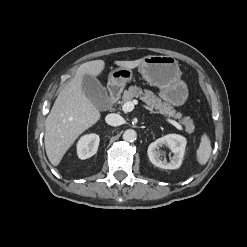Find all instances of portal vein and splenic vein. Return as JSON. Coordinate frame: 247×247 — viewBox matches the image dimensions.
<instances>
[{
  "mask_svg": "<svg viewBox=\"0 0 247 247\" xmlns=\"http://www.w3.org/2000/svg\"><path fill=\"white\" fill-rule=\"evenodd\" d=\"M137 104H138L137 100L126 102L122 106V110L125 113L131 112L134 109V105H137ZM143 107L145 109L149 110L151 113H156V111H154L153 108H151V107H149L147 105H143ZM166 121L169 122L170 124H172L173 126H175L177 129L182 130V126L178 122H176L175 120L167 118Z\"/></svg>",
  "mask_w": 247,
  "mask_h": 247,
  "instance_id": "18ae733b",
  "label": "portal vein and splenic vein"
}]
</instances>
